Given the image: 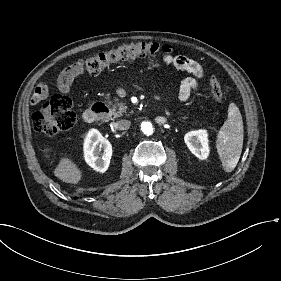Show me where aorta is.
Returning <instances> with one entry per match:
<instances>
[{
  "label": "aorta",
  "instance_id": "aorta-1",
  "mask_svg": "<svg viewBox=\"0 0 281 281\" xmlns=\"http://www.w3.org/2000/svg\"><path fill=\"white\" fill-rule=\"evenodd\" d=\"M141 128L143 133L146 135H151L153 133V127L150 122H143Z\"/></svg>",
  "mask_w": 281,
  "mask_h": 281
}]
</instances>
